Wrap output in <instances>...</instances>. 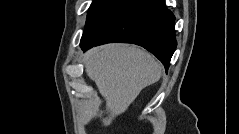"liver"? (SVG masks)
<instances>
[{
  "instance_id": "1",
  "label": "liver",
  "mask_w": 239,
  "mask_h": 134,
  "mask_svg": "<svg viewBox=\"0 0 239 134\" xmlns=\"http://www.w3.org/2000/svg\"><path fill=\"white\" fill-rule=\"evenodd\" d=\"M85 71L106 101L108 117L103 124L124 113L140 91L162 74V65L147 51L125 44H107L89 50Z\"/></svg>"
}]
</instances>
